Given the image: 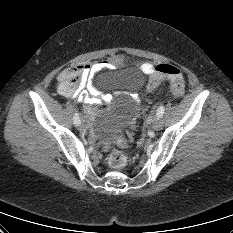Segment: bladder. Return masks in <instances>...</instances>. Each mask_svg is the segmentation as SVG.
<instances>
[{"label":"bladder","instance_id":"obj_1","mask_svg":"<svg viewBox=\"0 0 233 233\" xmlns=\"http://www.w3.org/2000/svg\"><path fill=\"white\" fill-rule=\"evenodd\" d=\"M100 81L104 84L133 90L142 85L143 77L137 70L127 69L122 72L106 74L101 77ZM136 113L135 103L130 100L124 101L96 116L92 122V132L100 138L109 137L127 127Z\"/></svg>","mask_w":233,"mask_h":233}]
</instances>
